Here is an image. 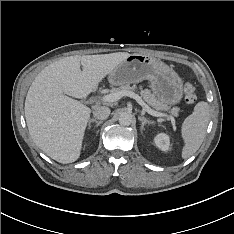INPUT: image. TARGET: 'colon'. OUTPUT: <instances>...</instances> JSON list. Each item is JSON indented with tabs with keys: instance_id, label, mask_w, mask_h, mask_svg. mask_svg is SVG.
I'll return each mask as SVG.
<instances>
[{
	"instance_id": "obj_1",
	"label": "colon",
	"mask_w": 234,
	"mask_h": 234,
	"mask_svg": "<svg viewBox=\"0 0 234 234\" xmlns=\"http://www.w3.org/2000/svg\"><path fill=\"white\" fill-rule=\"evenodd\" d=\"M184 100L187 104H192L196 100L195 88L191 83H187L185 86Z\"/></svg>"
}]
</instances>
